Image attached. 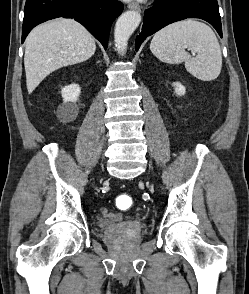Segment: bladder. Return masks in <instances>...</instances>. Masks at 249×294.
Instances as JSON below:
<instances>
[{"mask_svg":"<svg viewBox=\"0 0 249 294\" xmlns=\"http://www.w3.org/2000/svg\"><path fill=\"white\" fill-rule=\"evenodd\" d=\"M136 220L134 218H129L125 216L113 217L105 225L107 233H111L117 228L119 224L134 223Z\"/></svg>","mask_w":249,"mask_h":294,"instance_id":"bladder-1","label":"bladder"}]
</instances>
